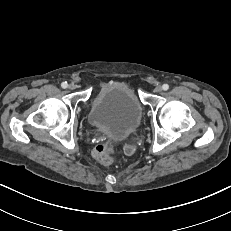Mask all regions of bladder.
<instances>
[{
  "mask_svg": "<svg viewBox=\"0 0 231 231\" xmlns=\"http://www.w3.org/2000/svg\"><path fill=\"white\" fill-rule=\"evenodd\" d=\"M142 115V105L133 89L125 82L111 80L93 96L87 118L94 127L120 138L138 128Z\"/></svg>",
  "mask_w": 231,
  "mask_h": 231,
  "instance_id": "bladder-1",
  "label": "bladder"
}]
</instances>
